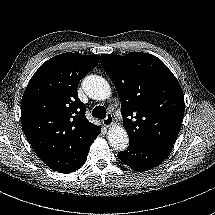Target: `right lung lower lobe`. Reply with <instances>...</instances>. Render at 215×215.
Returning a JSON list of instances; mask_svg holds the SVG:
<instances>
[{"mask_svg": "<svg viewBox=\"0 0 215 215\" xmlns=\"http://www.w3.org/2000/svg\"><path fill=\"white\" fill-rule=\"evenodd\" d=\"M100 130H101V127H100V126H97V128L94 130V132H93V134H92V136H91V138H90V142H89V144H88L87 147H86L83 160L80 162V164H79L77 167H75L74 169H72V170H70V171H67V172H61V171H59L58 169H53V170H56V171L61 172V173H71V172H73V171L79 169V168L84 164V162L86 161L89 148H90L91 144L93 143V141L95 140V138L100 134Z\"/></svg>", "mask_w": 215, "mask_h": 215, "instance_id": "1", "label": "right lung lower lobe"}]
</instances>
